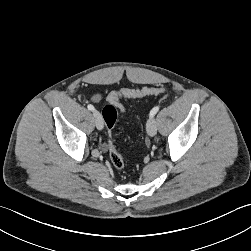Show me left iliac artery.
<instances>
[{
    "mask_svg": "<svg viewBox=\"0 0 251 251\" xmlns=\"http://www.w3.org/2000/svg\"><path fill=\"white\" fill-rule=\"evenodd\" d=\"M159 106L154 107L151 111H150V117H154L155 114L159 111Z\"/></svg>",
    "mask_w": 251,
    "mask_h": 251,
    "instance_id": "44dca946",
    "label": "left iliac artery"
}]
</instances>
